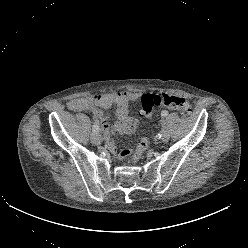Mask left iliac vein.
<instances>
[{"label": "left iliac vein", "instance_id": "4c4485c4", "mask_svg": "<svg viewBox=\"0 0 248 248\" xmlns=\"http://www.w3.org/2000/svg\"><path fill=\"white\" fill-rule=\"evenodd\" d=\"M169 140V133L168 131L164 128L163 129V134L161 136V141L162 142H167Z\"/></svg>", "mask_w": 248, "mask_h": 248}]
</instances>
